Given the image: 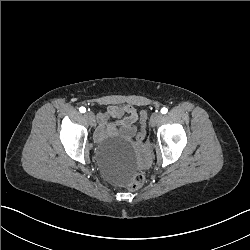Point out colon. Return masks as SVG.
<instances>
[{
  "instance_id": "5ec220e1",
  "label": "colon",
  "mask_w": 250,
  "mask_h": 250,
  "mask_svg": "<svg viewBox=\"0 0 250 250\" xmlns=\"http://www.w3.org/2000/svg\"><path fill=\"white\" fill-rule=\"evenodd\" d=\"M147 119V112L141 111L140 113V121L142 126L145 125V121ZM145 140V133L140 132L136 136V142L138 144H142ZM147 175L143 171H138L133 177H131L126 183L125 188L131 193H138L146 183Z\"/></svg>"
}]
</instances>
